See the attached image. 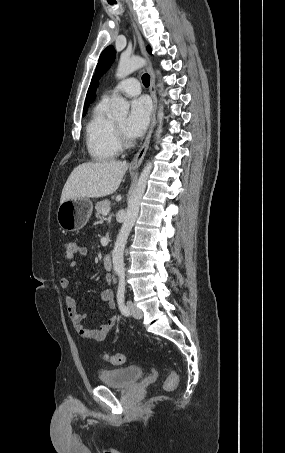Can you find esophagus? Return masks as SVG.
Masks as SVG:
<instances>
[{
  "label": "esophagus",
  "instance_id": "obj_1",
  "mask_svg": "<svg viewBox=\"0 0 285 453\" xmlns=\"http://www.w3.org/2000/svg\"><path fill=\"white\" fill-rule=\"evenodd\" d=\"M132 24L135 29L136 35H137V39H138V43H139L141 52H142L143 56L146 58V60L148 61L147 70L150 75L149 92H150V95H151L152 101H153V109H152V113H151V123H150L149 131L147 133V136L145 138L143 145L141 146L139 151L136 153V155L134 156V158L131 162V168L136 169L141 165V163L144 159V156L147 152V149L149 147V144H150L151 135H152L155 123H156L157 97H156V87H155V76H154L152 67L149 63V58H148L146 50H145L144 42L142 40V37L138 31V28H137L135 22L133 20H132Z\"/></svg>",
  "mask_w": 285,
  "mask_h": 453
}]
</instances>
